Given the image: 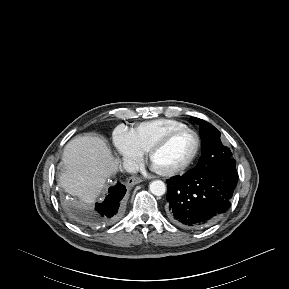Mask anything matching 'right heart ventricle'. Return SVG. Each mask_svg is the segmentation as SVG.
Returning <instances> with one entry per match:
<instances>
[{"instance_id": "e07e8e85", "label": "right heart ventricle", "mask_w": 289, "mask_h": 289, "mask_svg": "<svg viewBox=\"0 0 289 289\" xmlns=\"http://www.w3.org/2000/svg\"><path fill=\"white\" fill-rule=\"evenodd\" d=\"M187 127L184 123L174 119H155L136 125L131 135L136 146L144 153L164 135L175 129Z\"/></svg>"}]
</instances>
